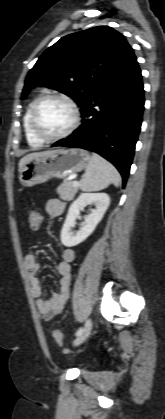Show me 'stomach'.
<instances>
[{
  "label": "stomach",
  "mask_w": 165,
  "mask_h": 419,
  "mask_svg": "<svg viewBox=\"0 0 165 419\" xmlns=\"http://www.w3.org/2000/svg\"><path fill=\"white\" fill-rule=\"evenodd\" d=\"M90 159L89 153L83 149L56 150L27 162L20 172L19 180L23 186L31 187L51 178H67L85 169Z\"/></svg>",
  "instance_id": "stomach-1"
}]
</instances>
